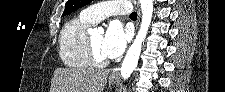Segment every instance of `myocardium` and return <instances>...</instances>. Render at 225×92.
Here are the masks:
<instances>
[{
    "label": "myocardium",
    "mask_w": 225,
    "mask_h": 92,
    "mask_svg": "<svg viewBox=\"0 0 225 92\" xmlns=\"http://www.w3.org/2000/svg\"><path fill=\"white\" fill-rule=\"evenodd\" d=\"M86 46H87L88 56L92 65L98 66V67H105L108 64L106 59H102L99 57V55L97 54V52L95 51L92 45L90 37L87 38Z\"/></svg>",
    "instance_id": "myocardium-1"
}]
</instances>
